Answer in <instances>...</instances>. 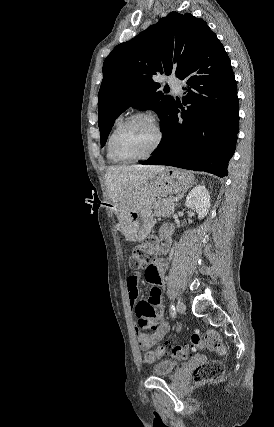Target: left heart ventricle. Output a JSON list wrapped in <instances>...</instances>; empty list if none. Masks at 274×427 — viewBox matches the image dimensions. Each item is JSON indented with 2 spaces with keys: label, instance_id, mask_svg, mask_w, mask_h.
<instances>
[{
  "label": "left heart ventricle",
  "instance_id": "obj_1",
  "mask_svg": "<svg viewBox=\"0 0 274 427\" xmlns=\"http://www.w3.org/2000/svg\"><path fill=\"white\" fill-rule=\"evenodd\" d=\"M157 141V130L146 119H137L125 125L115 136L117 152L126 158L148 153Z\"/></svg>",
  "mask_w": 274,
  "mask_h": 427
}]
</instances>
